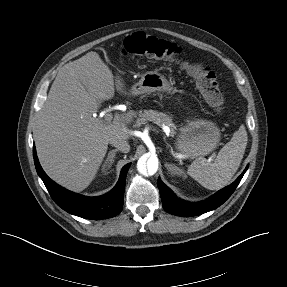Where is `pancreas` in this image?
Instances as JSON below:
<instances>
[{"instance_id":"1","label":"pancreas","mask_w":287,"mask_h":287,"mask_svg":"<svg viewBox=\"0 0 287 287\" xmlns=\"http://www.w3.org/2000/svg\"><path fill=\"white\" fill-rule=\"evenodd\" d=\"M147 121H151L159 126H168L170 128L172 136H174V134L176 133V126L172 121V117L165 113L154 110L139 111L136 122L137 126H139L140 124H145Z\"/></svg>"}]
</instances>
